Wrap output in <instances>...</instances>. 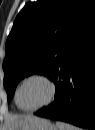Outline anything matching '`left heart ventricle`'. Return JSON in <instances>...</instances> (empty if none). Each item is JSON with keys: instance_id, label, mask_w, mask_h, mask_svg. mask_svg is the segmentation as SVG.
<instances>
[{"instance_id": "b2bd125f", "label": "left heart ventricle", "mask_w": 95, "mask_h": 130, "mask_svg": "<svg viewBox=\"0 0 95 130\" xmlns=\"http://www.w3.org/2000/svg\"><path fill=\"white\" fill-rule=\"evenodd\" d=\"M49 96L48 85L39 79L26 82L18 95L19 104L24 108H34L47 100Z\"/></svg>"}]
</instances>
